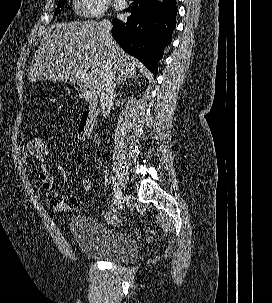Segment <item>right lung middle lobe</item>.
Masks as SVG:
<instances>
[{
	"label": "right lung middle lobe",
	"mask_w": 272,
	"mask_h": 303,
	"mask_svg": "<svg viewBox=\"0 0 272 303\" xmlns=\"http://www.w3.org/2000/svg\"><path fill=\"white\" fill-rule=\"evenodd\" d=\"M64 3H65V0H59V2H58V8L55 10V15H57V14L60 13V9L59 8L63 7Z\"/></svg>",
	"instance_id": "right-lung-middle-lobe-1"
}]
</instances>
